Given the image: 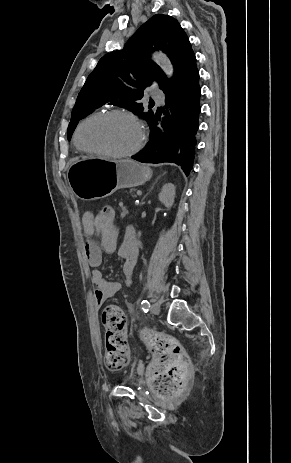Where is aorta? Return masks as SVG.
<instances>
[{
    "label": "aorta",
    "mask_w": 291,
    "mask_h": 463,
    "mask_svg": "<svg viewBox=\"0 0 291 463\" xmlns=\"http://www.w3.org/2000/svg\"><path fill=\"white\" fill-rule=\"evenodd\" d=\"M153 59L160 65L164 73L171 78L173 75V67L168 59V57L162 53H156L153 55Z\"/></svg>",
    "instance_id": "1"
}]
</instances>
